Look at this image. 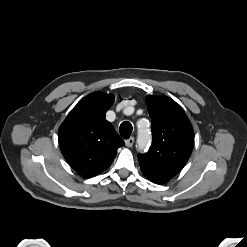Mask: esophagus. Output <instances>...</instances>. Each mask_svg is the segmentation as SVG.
<instances>
[{"label":"esophagus","instance_id":"obj_1","mask_svg":"<svg viewBox=\"0 0 247 247\" xmlns=\"http://www.w3.org/2000/svg\"><path fill=\"white\" fill-rule=\"evenodd\" d=\"M125 144L127 147H132V145L134 144V137H130L127 140H125Z\"/></svg>","mask_w":247,"mask_h":247}]
</instances>
